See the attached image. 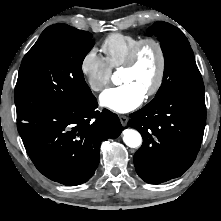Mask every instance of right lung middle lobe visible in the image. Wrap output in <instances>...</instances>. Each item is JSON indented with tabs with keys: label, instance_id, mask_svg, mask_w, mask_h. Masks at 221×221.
<instances>
[{
	"label": "right lung middle lobe",
	"instance_id": "1",
	"mask_svg": "<svg viewBox=\"0 0 221 221\" xmlns=\"http://www.w3.org/2000/svg\"><path fill=\"white\" fill-rule=\"evenodd\" d=\"M89 32L43 31L25 55L15 87L17 120L43 111L69 108L91 90L82 63L94 46Z\"/></svg>",
	"mask_w": 221,
	"mask_h": 221
}]
</instances>
